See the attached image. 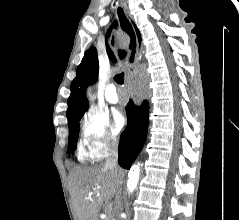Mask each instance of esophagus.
I'll list each match as a JSON object with an SVG mask.
<instances>
[{
    "label": "esophagus",
    "mask_w": 239,
    "mask_h": 220,
    "mask_svg": "<svg viewBox=\"0 0 239 220\" xmlns=\"http://www.w3.org/2000/svg\"><path fill=\"white\" fill-rule=\"evenodd\" d=\"M118 15L120 18L121 28L123 29L124 41L128 43L129 48V55H128V64L126 67V72L129 74V87H131V92H140V83L138 79V71H136L137 66V54H138V43L137 37L134 36L136 32L133 29V26L130 25V22L125 17L124 12L121 8L118 9ZM132 101L135 102V107L140 106L141 101V94L140 93H133L132 94Z\"/></svg>",
    "instance_id": "34e87169"
}]
</instances>
